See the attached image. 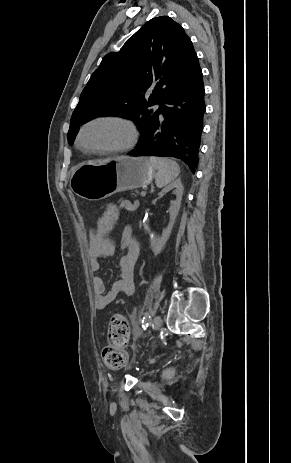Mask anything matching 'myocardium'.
<instances>
[{"instance_id": "obj_1", "label": "myocardium", "mask_w": 291, "mask_h": 463, "mask_svg": "<svg viewBox=\"0 0 291 463\" xmlns=\"http://www.w3.org/2000/svg\"><path fill=\"white\" fill-rule=\"evenodd\" d=\"M103 122L118 123L124 126L128 133L126 141L121 145H115V146H86L84 145L82 143V137L86 129L92 125H95L97 123H103ZM138 137H139V132H138L137 126L131 119L123 115H119V114H107V115H100V116L93 117L87 120L85 123H83L80 126L78 133L76 135V145L78 148H80L82 151L86 153L118 154V153H124V152L131 150L137 143Z\"/></svg>"}]
</instances>
